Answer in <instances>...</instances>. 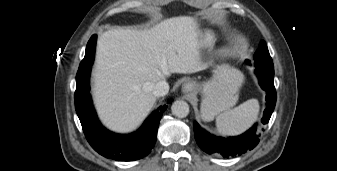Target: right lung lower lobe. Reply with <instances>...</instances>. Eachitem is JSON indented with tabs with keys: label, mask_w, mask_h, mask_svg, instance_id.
<instances>
[{
	"label": "right lung lower lobe",
	"mask_w": 337,
	"mask_h": 171,
	"mask_svg": "<svg viewBox=\"0 0 337 171\" xmlns=\"http://www.w3.org/2000/svg\"><path fill=\"white\" fill-rule=\"evenodd\" d=\"M96 35L86 47L76 75L75 108L84 134L99 154L118 161H134L147 156L154 147L160 119L167 106L154 111L135 133L119 135L105 129L99 122L89 93V75L94 60Z\"/></svg>",
	"instance_id": "right-lung-lower-lobe-1"
}]
</instances>
